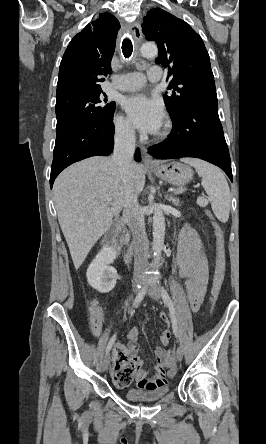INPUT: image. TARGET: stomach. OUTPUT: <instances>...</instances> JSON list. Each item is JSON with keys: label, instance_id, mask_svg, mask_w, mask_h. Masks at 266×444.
<instances>
[{"label": "stomach", "instance_id": "1", "mask_svg": "<svg viewBox=\"0 0 266 444\" xmlns=\"http://www.w3.org/2000/svg\"><path fill=\"white\" fill-rule=\"evenodd\" d=\"M150 172L158 178L179 187L189 183L193 178V170L189 166L176 161L150 169Z\"/></svg>", "mask_w": 266, "mask_h": 444}]
</instances>
